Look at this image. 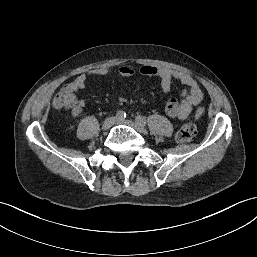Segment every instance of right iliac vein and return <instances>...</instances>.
<instances>
[{"mask_svg":"<svg viewBox=\"0 0 257 257\" xmlns=\"http://www.w3.org/2000/svg\"><path fill=\"white\" fill-rule=\"evenodd\" d=\"M117 118L115 117H108L104 120V122L102 123V129L103 130H108L112 127V125L115 123V120Z\"/></svg>","mask_w":257,"mask_h":257,"instance_id":"right-iliac-vein-1","label":"right iliac vein"}]
</instances>
